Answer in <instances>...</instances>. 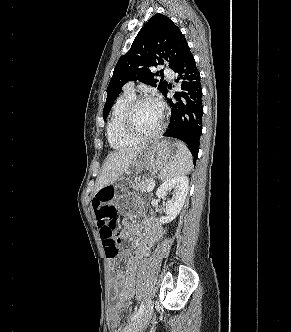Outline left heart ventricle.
<instances>
[{
	"label": "left heart ventricle",
	"mask_w": 291,
	"mask_h": 332,
	"mask_svg": "<svg viewBox=\"0 0 291 332\" xmlns=\"http://www.w3.org/2000/svg\"><path fill=\"white\" fill-rule=\"evenodd\" d=\"M161 124V112L157 104L151 101L141 103L134 113V128L141 134L155 132Z\"/></svg>",
	"instance_id": "b2bd125f"
}]
</instances>
